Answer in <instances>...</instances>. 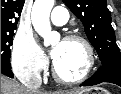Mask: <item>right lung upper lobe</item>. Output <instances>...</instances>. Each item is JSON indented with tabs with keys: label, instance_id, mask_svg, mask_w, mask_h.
<instances>
[{
	"label": "right lung upper lobe",
	"instance_id": "1",
	"mask_svg": "<svg viewBox=\"0 0 121 94\" xmlns=\"http://www.w3.org/2000/svg\"><path fill=\"white\" fill-rule=\"evenodd\" d=\"M25 0H1V31H14Z\"/></svg>",
	"mask_w": 121,
	"mask_h": 94
}]
</instances>
